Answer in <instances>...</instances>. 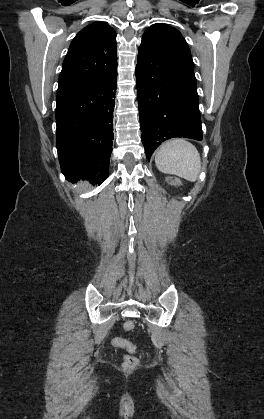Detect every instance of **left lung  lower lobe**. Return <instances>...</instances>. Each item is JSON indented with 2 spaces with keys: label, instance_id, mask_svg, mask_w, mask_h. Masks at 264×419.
Instances as JSON below:
<instances>
[{
  "label": "left lung lower lobe",
  "instance_id": "0a47b994",
  "mask_svg": "<svg viewBox=\"0 0 264 419\" xmlns=\"http://www.w3.org/2000/svg\"><path fill=\"white\" fill-rule=\"evenodd\" d=\"M167 41H142L136 65L140 128L146 156L165 140H202L195 76L184 71Z\"/></svg>",
  "mask_w": 264,
  "mask_h": 419
}]
</instances>
